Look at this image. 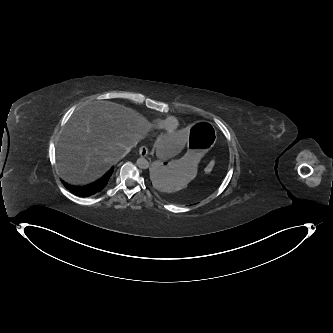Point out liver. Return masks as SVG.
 Here are the masks:
<instances>
[{
    "label": "liver",
    "instance_id": "1",
    "mask_svg": "<svg viewBox=\"0 0 333 333\" xmlns=\"http://www.w3.org/2000/svg\"><path fill=\"white\" fill-rule=\"evenodd\" d=\"M151 124L135 110L109 101H94L68 120L57 145L62 179L85 185L103 176L127 149L136 147ZM189 137L178 129L165 131L156 141L159 155L172 158L187 146Z\"/></svg>",
    "mask_w": 333,
    "mask_h": 333
}]
</instances>
